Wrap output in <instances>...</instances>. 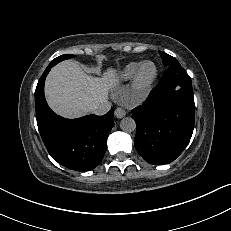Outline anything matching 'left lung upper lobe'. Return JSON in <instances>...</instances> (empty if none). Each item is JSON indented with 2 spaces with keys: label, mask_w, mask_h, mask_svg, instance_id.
<instances>
[{
  "label": "left lung upper lobe",
  "mask_w": 231,
  "mask_h": 231,
  "mask_svg": "<svg viewBox=\"0 0 231 231\" xmlns=\"http://www.w3.org/2000/svg\"><path fill=\"white\" fill-rule=\"evenodd\" d=\"M162 60H163V64L164 66L168 67L170 65L173 64H178L179 62L177 61V59H175L174 57L170 56L169 54H166L164 52L159 51Z\"/></svg>",
  "instance_id": "obj_1"
}]
</instances>
